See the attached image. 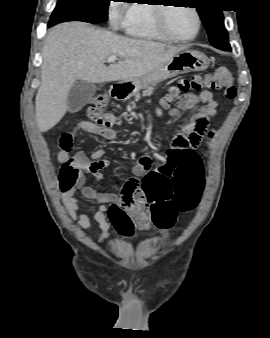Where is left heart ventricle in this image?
Instances as JSON below:
<instances>
[{"mask_svg": "<svg viewBox=\"0 0 270 338\" xmlns=\"http://www.w3.org/2000/svg\"><path fill=\"white\" fill-rule=\"evenodd\" d=\"M167 26L179 38H188L195 33L196 17L187 7H171L166 12Z\"/></svg>", "mask_w": 270, "mask_h": 338, "instance_id": "1", "label": "left heart ventricle"}]
</instances>
